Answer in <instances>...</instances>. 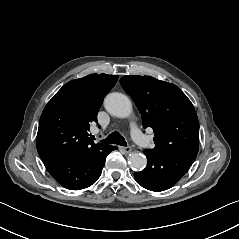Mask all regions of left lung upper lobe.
<instances>
[{
    "instance_id": "obj_1",
    "label": "left lung upper lobe",
    "mask_w": 239,
    "mask_h": 239,
    "mask_svg": "<svg viewBox=\"0 0 239 239\" xmlns=\"http://www.w3.org/2000/svg\"><path fill=\"white\" fill-rule=\"evenodd\" d=\"M120 83L140 111L143 127L155 132L153 151L198 153L197 114L176 85L138 75L124 76Z\"/></svg>"
}]
</instances>
